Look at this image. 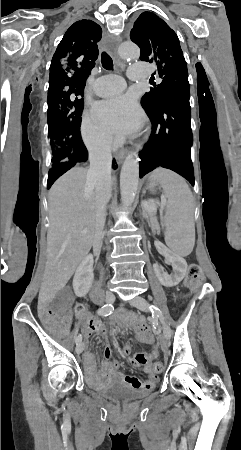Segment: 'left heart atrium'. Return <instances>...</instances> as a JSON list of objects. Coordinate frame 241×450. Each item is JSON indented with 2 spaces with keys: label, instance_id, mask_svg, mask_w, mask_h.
Here are the masks:
<instances>
[{
  "label": "left heart atrium",
  "instance_id": "obj_1",
  "mask_svg": "<svg viewBox=\"0 0 241 450\" xmlns=\"http://www.w3.org/2000/svg\"><path fill=\"white\" fill-rule=\"evenodd\" d=\"M92 117L100 127L119 137L133 134L144 121L141 110L129 95L96 103Z\"/></svg>",
  "mask_w": 241,
  "mask_h": 450
}]
</instances>
